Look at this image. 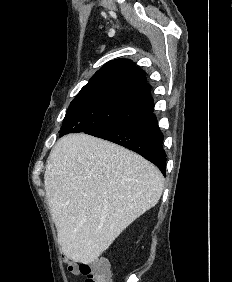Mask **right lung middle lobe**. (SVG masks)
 I'll list each match as a JSON object with an SVG mask.
<instances>
[{"instance_id": "dd1d6c3e", "label": "right lung middle lobe", "mask_w": 232, "mask_h": 282, "mask_svg": "<svg viewBox=\"0 0 232 282\" xmlns=\"http://www.w3.org/2000/svg\"><path fill=\"white\" fill-rule=\"evenodd\" d=\"M154 103L137 91L109 90L76 96L70 103L61 134H89L102 128H113L150 115Z\"/></svg>"}]
</instances>
